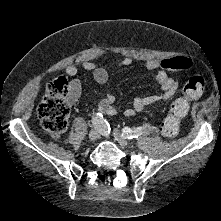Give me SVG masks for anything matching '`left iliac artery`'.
<instances>
[{"instance_id":"1","label":"left iliac artery","mask_w":221,"mask_h":221,"mask_svg":"<svg viewBox=\"0 0 221 221\" xmlns=\"http://www.w3.org/2000/svg\"><path fill=\"white\" fill-rule=\"evenodd\" d=\"M122 135L124 136V138L127 139H132V138H137L138 136H140L142 134V128L138 127L134 130H131L128 127L123 128L122 130Z\"/></svg>"}]
</instances>
